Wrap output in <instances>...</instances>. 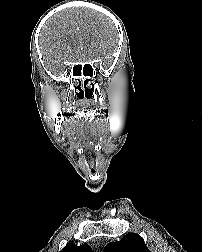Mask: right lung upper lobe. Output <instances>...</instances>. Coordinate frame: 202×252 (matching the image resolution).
<instances>
[{
    "label": "right lung upper lobe",
    "instance_id": "1",
    "mask_svg": "<svg viewBox=\"0 0 202 252\" xmlns=\"http://www.w3.org/2000/svg\"><path fill=\"white\" fill-rule=\"evenodd\" d=\"M60 252H92V249L88 245H74L68 243Z\"/></svg>",
    "mask_w": 202,
    "mask_h": 252
}]
</instances>
